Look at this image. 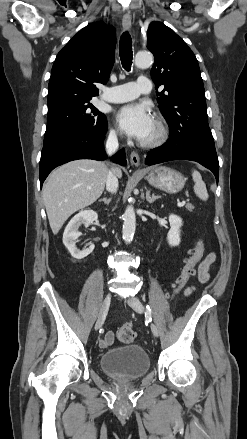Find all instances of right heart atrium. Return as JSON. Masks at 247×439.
<instances>
[{
	"instance_id": "obj_1",
	"label": "right heart atrium",
	"mask_w": 247,
	"mask_h": 439,
	"mask_svg": "<svg viewBox=\"0 0 247 439\" xmlns=\"http://www.w3.org/2000/svg\"><path fill=\"white\" fill-rule=\"evenodd\" d=\"M111 136L116 137L119 135V130L118 129H112L110 132Z\"/></svg>"
}]
</instances>
